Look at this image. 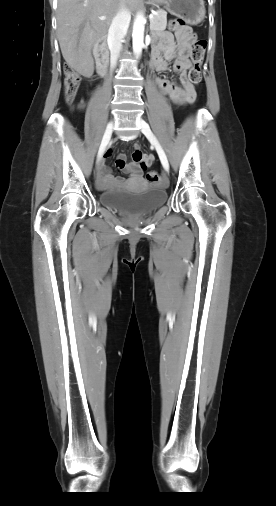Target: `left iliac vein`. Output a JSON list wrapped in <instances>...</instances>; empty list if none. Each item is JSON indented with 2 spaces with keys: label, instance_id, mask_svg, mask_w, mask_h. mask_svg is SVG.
I'll list each match as a JSON object with an SVG mask.
<instances>
[{
  "label": "left iliac vein",
  "instance_id": "4c4485c4",
  "mask_svg": "<svg viewBox=\"0 0 276 506\" xmlns=\"http://www.w3.org/2000/svg\"><path fill=\"white\" fill-rule=\"evenodd\" d=\"M139 126L143 134L154 144L164 169L166 171H169V163L165 155V152L163 151L160 143L158 142L157 138L151 131L150 126L142 118L139 119Z\"/></svg>",
  "mask_w": 276,
  "mask_h": 506
}]
</instances>
